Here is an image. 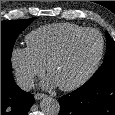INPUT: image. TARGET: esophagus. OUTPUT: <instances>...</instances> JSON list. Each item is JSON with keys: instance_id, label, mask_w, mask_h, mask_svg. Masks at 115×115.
<instances>
[{"instance_id": "34e87169", "label": "esophagus", "mask_w": 115, "mask_h": 115, "mask_svg": "<svg viewBox=\"0 0 115 115\" xmlns=\"http://www.w3.org/2000/svg\"><path fill=\"white\" fill-rule=\"evenodd\" d=\"M34 97H35L36 100H40V99L46 97V95H45V94H42V93H36V94L34 95Z\"/></svg>"}]
</instances>
